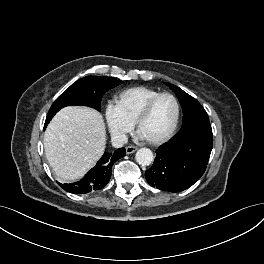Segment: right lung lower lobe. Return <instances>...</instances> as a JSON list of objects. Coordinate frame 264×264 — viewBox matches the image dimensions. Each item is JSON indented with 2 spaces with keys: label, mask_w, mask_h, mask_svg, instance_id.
Listing matches in <instances>:
<instances>
[{
  "label": "right lung lower lobe",
  "mask_w": 264,
  "mask_h": 264,
  "mask_svg": "<svg viewBox=\"0 0 264 264\" xmlns=\"http://www.w3.org/2000/svg\"><path fill=\"white\" fill-rule=\"evenodd\" d=\"M47 125L45 124L44 128ZM125 149H117L114 153H104L101 159L97 162L82 180L59 185L67 192L73 194H85L91 191L100 190L109 182L111 178L113 164L123 156H125Z\"/></svg>",
  "instance_id": "98d812e1"
}]
</instances>
